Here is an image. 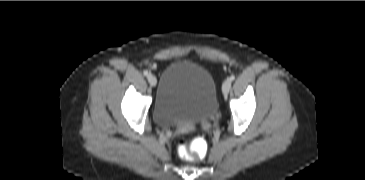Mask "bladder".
<instances>
[{"label":"bladder","mask_w":365,"mask_h":180,"mask_svg":"<svg viewBox=\"0 0 365 180\" xmlns=\"http://www.w3.org/2000/svg\"><path fill=\"white\" fill-rule=\"evenodd\" d=\"M217 108V85L207 68L178 60L164 69L153 105L158 125L172 127L210 120Z\"/></svg>","instance_id":"bladder-1"}]
</instances>
